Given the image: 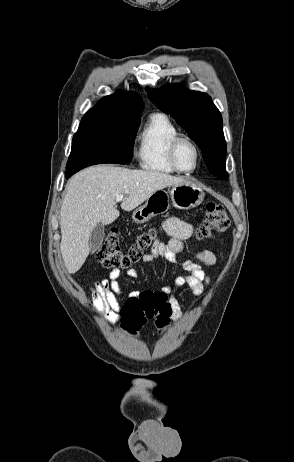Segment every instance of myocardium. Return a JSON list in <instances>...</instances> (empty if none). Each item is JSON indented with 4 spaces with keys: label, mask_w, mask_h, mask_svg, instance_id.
<instances>
[{
    "label": "myocardium",
    "mask_w": 294,
    "mask_h": 462,
    "mask_svg": "<svg viewBox=\"0 0 294 462\" xmlns=\"http://www.w3.org/2000/svg\"><path fill=\"white\" fill-rule=\"evenodd\" d=\"M184 142L189 143L193 147V149L195 151V155H196L195 165L190 170L182 169L179 166L178 161H177L178 147H179V145L181 143H184ZM168 158H169V162H170L171 166L177 172L189 174V173H193L194 171L197 170V168H198V166L200 164L201 151H200V148H199L198 144L192 138H190L188 136H185V135H178L171 141V143L169 145Z\"/></svg>",
    "instance_id": "f54148a6"
}]
</instances>
